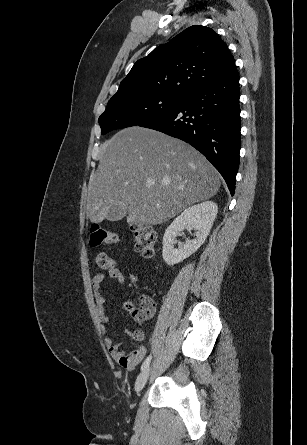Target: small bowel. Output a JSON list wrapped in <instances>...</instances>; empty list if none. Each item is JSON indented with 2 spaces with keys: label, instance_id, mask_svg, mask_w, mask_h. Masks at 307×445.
<instances>
[{
  "label": "small bowel",
  "instance_id": "small-bowel-1",
  "mask_svg": "<svg viewBox=\"0 0 307 445\" xmlns=\"http://www.w3.org/2000/svg\"><path fill=\"white\" fill-rule=\"evenodd\" d=\"M106 276L112 280H116L119 283H123L126 279V274L124 271L114 267L111 270H108L106 275L104 273H97L92 278V289L97 304L98 317L100 321L105 324L109 322V317L105 307L107 298L101 293L100 289ZM125 334L134 340H141L143 336L142 332L139 330H125ZM105 342L112 358L116 360L123 368L128 370L134 369L143 360L146 354V349L142 345L137 346L133 351L127 353L121 349V344L115 342L112 338H106Z\"/></svg>",
  "mask_w": 307,
  "mask_h": 445
}]
</instances>
